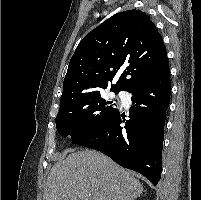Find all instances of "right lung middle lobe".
<instances>
[{"mask_svg":"<svg viewBox=\"0 0 201 200\" xmlns=\"http://www.w3.org/2000/svg\"><path fill=\"white\" fill-rule=\"evenodd\" d=\"M110 103L101 98L100 92L60 102L56 116L58 133L61 136L70 135L75 140L95 131L118 111L108 106Z\"/></svg>","mask_w":201,"mask_h":200,"instance_id":"1","label":"right lung middle lobe"}]
</instances>
